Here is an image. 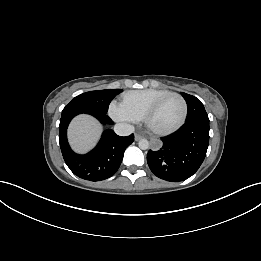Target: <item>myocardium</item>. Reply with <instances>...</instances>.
Here are the masks:
<instances>
[{
	"label": "myocardium",
	"instance_id": "myocardium-1",
	"mask_svg": "<svg viewBox=\"0 0 261 261\" xmlns=\"http://www.w3.org/2000/svg\"><path fill=\"white\" fill-rule=\"evenodd\" d=\"M170 97H177L180 99L181 103H182V106H183V111H182V116L180 118V120L178 121V123L173 126L172 128H169V129H165V130H159V129H155L151 126L150 124V120L152 118V116L156 113V111L158 110V108L162 105V103L164 101H166L168 98ZM187 114H188V105H187V102L185 100V98L179 94V93H176V92H170L162 97H160L159 99H157L148 109L147 111L145 112L143 118H142V121L145 125V127L150 131L152 132L153 134L155 135H160V136H165V135H169V134H172L174 132H176L177 130H179L183 124L185 123L186 121V118H187Z\"/></svg>",
	"mask_w": 261,
	"mask_h": 261
}]
</instances>
